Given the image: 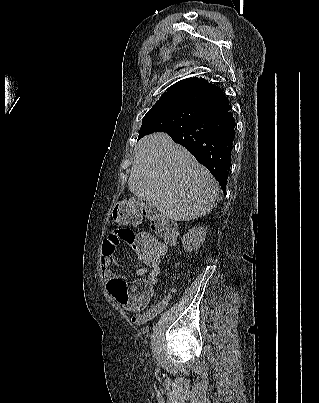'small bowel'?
Returning a JSON list of instances; mask_svg holds the SVG:
<instances>
[{
    "label": "small bowel",
    "instance_id": "small-bowel-1",
    "mask_svg": "<svg viewBox=\"0 0 319 403\" xmlns=\"http://www.w3.org/2000/svg\"><path fill=\"white\" fill-rule=\"evenodd\" d=\"M136 248L138 249L135 231L129 224H114L112 229H106L104 239L99 240L100 271L102 278L108 281V294L113 295L114 304L119 305L120 309H125L126 315H135V324H142L143 321L155 317L167 304L166 300L161 301L142 315H137L138 309H147L149 300H152V284L161 273L160 258L164 254H159V258H142L141 254L142 264L133 278H140L149 271L148 279H130L116 274L111 268L116 260V250Z\"/></svg>",
    "mask_w": 319,
    "mask_h": 403
}]
</instances>
